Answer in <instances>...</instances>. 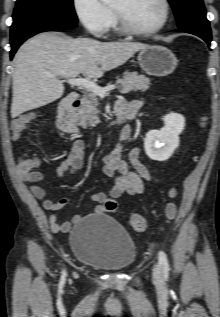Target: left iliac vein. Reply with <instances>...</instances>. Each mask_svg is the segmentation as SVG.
<instances>
[{"instance_id":"4c4485c4","label":"left iliac vein","mask_w":220,"mask_h":317,"mask_svg":"<svg viewBox=\"0 0 220 317\" xmlns=\"http://www.w3.org/2000/svg\"><path fill=\"white\" fill-rule=\"evenodd\" d=\"M152 275L155 282H160L162 280V273L158 264L154 265Z\"/></svg>"}]
</instances>
